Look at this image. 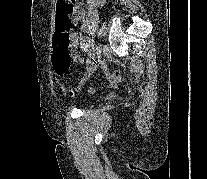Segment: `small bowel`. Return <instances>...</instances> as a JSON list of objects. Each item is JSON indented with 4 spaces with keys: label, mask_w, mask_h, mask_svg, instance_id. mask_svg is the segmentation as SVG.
<instances>
[{
    "label": "small bowel",
    "mask_w": 207,
    "mask_h": 179,
    "mask_svg": "<svg viewBox=\"0 0 207 179\" xmlns=\"http://www.w3.org/2000/svg\"><path fill=\"white\" fill-rule=\"evenodd\" d=\"M105 0H87V7L89 10H94L98 7H100ZM76 19L82 21V26H84L85 20H84V11L81 4L76 5V11H75ZM72 43L71 48L73 50V59L76 63L82 64L83 59L75 52V49L78 46V34L76 32H73L71 34Z\"/></svg>",
    "instance_id": "c3829d8e"
}]
</instances>
